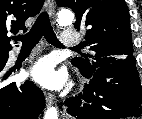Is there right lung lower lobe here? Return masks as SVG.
<instances>
[{
	"label": "right lung lower lobe",
	"mask_w": 142,
	"mask_h": 119,
	"mask_svg": "<svg viewBox=\"0 0 142 119\" xmlns=\"http://www.w3.org/2000/svg\"><path fill=\"white\" fill-rule=\"evenodd\" d=\"M7 59L8 53L0 55V119H36L45 106L43 92L32 81L6 83Z\"/></svg>",
	"instance_id": "obj_1"
}]
</instances>
